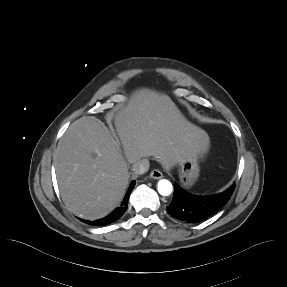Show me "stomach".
<instances>
[{"label": "stomach", "instance_id": "1", "mask_svg": "<svg viewBox=\"0 0 287 287\" xmlns=\"http://www.w3.org/2000/svg\"><path fill=\"white\" fill-rule=\"evenodd\" d=\"M180 182L191 187L199 176V152L191 149L178 163Z\"/></svg>", "mask_w": 287, "mask_h": 287}]
</instances>
